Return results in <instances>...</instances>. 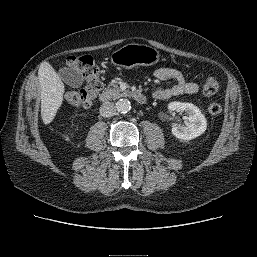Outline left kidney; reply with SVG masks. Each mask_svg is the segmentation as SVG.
Returning <instances> with one entry per match:
<instances>
[{"label": "left kidney", "mask_w": 257, "mask_h": 257, "mask_svg": "<svg viewBox=\"0 0 257 257\" xmlns=\"http://www.w3.org/2000/svg\"><path fill=\"white\" fill-rule=\"evenodd\" d=\"M171 112H185L188 116L186 125H174L172 134L181 140H192L203 134L207 128V121L200 109L192 103L171 102L168 105Z\"/></svg>", "instance_id": "left-kidney-1"}]
</instances>
